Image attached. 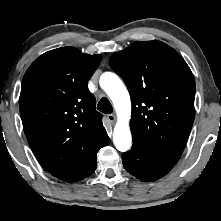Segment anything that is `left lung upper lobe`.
Wrapping results in <instances>:
<instances>
[{"label":"left lung upper lobe","mask_w":221,"mask_h":221,"mask_svg":"<svg viewBox=\"0 0 221 221\" xmlns=\"http://www.w3.org/2000/svg\"><path fill=\"white\" fill-rule=\"evenodd\" d=\"M109 63L131 96L133 139L181 154L195 117V80L183 57L153 40L114 53Z\"/></svg>","instance_id":"1"}]
</instances>
